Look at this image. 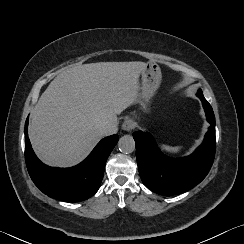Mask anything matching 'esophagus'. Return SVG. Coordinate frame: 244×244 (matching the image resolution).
Segmentation results:
<instances>
[{"label":"esophagus","mask_w":244,"mask_h":244,"mask_svg":"<svg viewBox=\"0 0 244 244\" xmlns=\"http://www.w3.org/2000/svg\"><path fill=\"white\" fill-rule=\"evenodd\" d=\"M135 127V122L133 119H126L124 122H123V125H122V129L124 131H130L132 130L133 128Z\"/></svg>","instance_id":"obj_1"}]
</instances>
